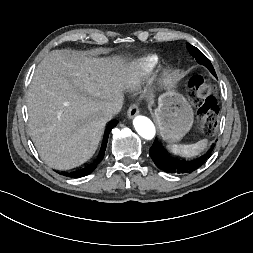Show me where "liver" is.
<instances>
[{"mask_svg":"<svg viewBox=\"0 0 253 253\" xmlns=\"http://www.w3.org/2000/svg\"><path fill=\"white\" fill-rule=\"evenodd\" d=\"M126 61L53 50L37 66L27 91L28 128L42 160L67 170L90 159L109 119L107 103L123 98Z\"/></svg>","mask_w":253,"mask_h":253,"instance_id":"liver-1","label":"liver"}]
</instances>
